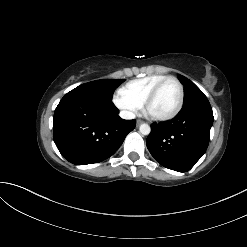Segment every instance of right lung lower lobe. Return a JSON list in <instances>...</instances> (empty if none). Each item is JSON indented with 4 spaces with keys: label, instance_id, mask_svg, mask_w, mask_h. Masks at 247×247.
<instances>
[{
    "label": "right lung lower lobe",
    "instance_id": "right-lung-lower-lobe-1",
    "mask_svg": "<svg viewBox=\"0 0 247 247\" xmlns=\"http://www.w3.org/2000/svg\"><path fill=\"white\" fill-rule=\"evenodd\" d=\"M112 101L66 94L54 113L53 137L61 155L75 165L101 162L113 155L135 120H124Z\"/></svg>",
    "mask_w": 247,
    "mask_h": 247
}]
</instances>
